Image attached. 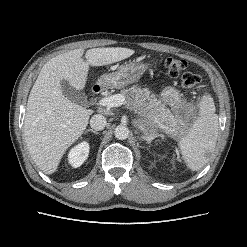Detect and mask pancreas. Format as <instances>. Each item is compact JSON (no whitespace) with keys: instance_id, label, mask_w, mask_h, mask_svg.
Wrapping results in <instances>:
<instances>
[{"instance_id":"cf45deb5","label":"pancreas","mask_w":247,"mask_h":247,"mask_svg":"<svg viewBox=\"0 0 247 247\" xmlns=\"http://www.w3.org/2000/svg\"><path fill=\"white\" fill-rule=\"evenodd\" d=\"M121 93L127 105L131 106L136 113L142 115L149 111L157 122L169 124L173 121L170 111L147 88L133 85L121 90Z\"/></svg>"}]
</instances>
